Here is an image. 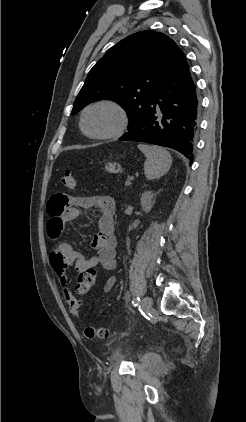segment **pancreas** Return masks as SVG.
<instances>
[{
    "label": "pancreas",
    "instance_id": "pancreas-1",
    "mask_svg": "<svg viewBox=\"0 0 246 422\" xmlns=\"http://www.w3.org/2000/svg\"><path fill=\"white\" fill-rule=\"evenodd\" d=\"M128 180H129V178H128ZM128 180H127V182H128ZM127 182H126V186H129L131 184V181L129 183H127Z\"/></svg>",
    "mask_w": 246,
    "mask_h": 422
}]
</instances>
